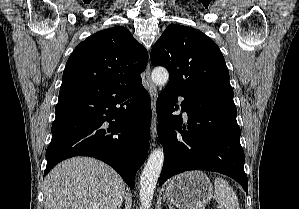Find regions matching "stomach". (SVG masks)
Returning <instances> with one entry per match:
<instances>
[{"label": "stomach", "instance_id": "1", "mask_svg": "<svg viewBox=\"0 0 299 209\" xmlns=\"http://www.w3.org/2000/svg\"><path fill=\"white\" fill-rule=\"evenodd\" d=\"M166 196L180 209H200L211 200L213 186L201 171L184 172L170 180Z\"/></svg>", "mask_w": 299, "mask_h": 209}]
</instances>
